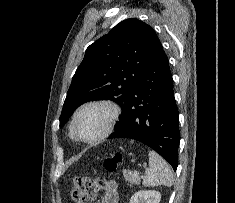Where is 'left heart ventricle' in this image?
<instances>
[{"instance_id": "1", "label": "left heart ventricle", "mask_w": 235, "mask_h": 203, "mask_svg": "<svg viewBox=\"0 0 235 203\" xmlns=\"http://www.w3.org/2000/svg\"><path fill=\"white\" fill-rule=\"evenodd\" d=\"M110 119V111L104 106H90L85 108L77 117L76 129L85 139H92L100 135Z\"/></svg>"}]
</instances>
